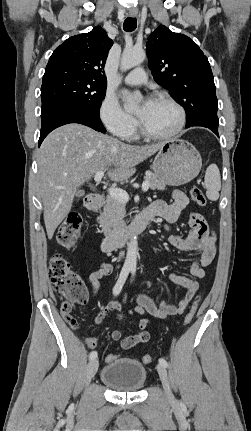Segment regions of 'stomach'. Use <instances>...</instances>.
Returning <instances> with one entry per match:
<instances>
[{"instance_id":"0dacf381","label":"stomach","mask_w":251,"mask_h":431,"mask_svg":"<svg viewBox=\"0 0 251 431\" xmlns=\"http://www.w3.org/2000/svg\"><path fill=\"white\" fill-rule=\"evenodd\" d=\"M201 167L202 159L198 151L182 139L164 142L153 162L155 175L170 186L190 182L199 174Z\"/></svg>"}]
</instances>
